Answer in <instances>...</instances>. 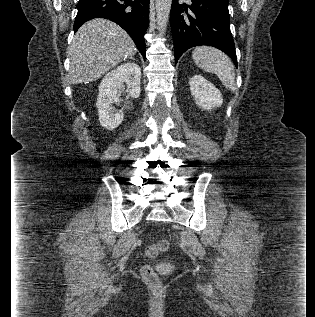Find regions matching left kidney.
<instances>
[{
  "instance_id": "1",
  "label": "left kidney",
  "mask_w": 315,
  "mask_h": 317,
  "mask_svg": "<svg viewBox=\"0 0 315 317\" xmlns=\"http://www.w3.org/2000/svg\"><path fill=\"white\" fill-rule=\"evenodd\" d=\"M191 94L196 104L204 110L220 107L223 98L220 91L201 75H194L189 80Z\"/></svg>"
}]
</instances>
